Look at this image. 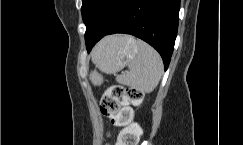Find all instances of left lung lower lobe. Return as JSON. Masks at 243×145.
Returning <instances> with one entry per match:
<instances>
[{
	"label": "left lung lower lobe",
	"instance_id": "obj_1",
	"mask_svg": "<svg viewBox=\"0 0 243 145\" xmlns=\"http://www.w3.org/2000/svg\"><path fill=\"white\" fill-rule=\"evenodd\" d=\"M180 0H126L116 18L103 26L95 21L86 26L87 51L105 35L126 33L153 46L168 68L178 30Z\"/></svg>",
	"mask_w": 243,
	"mask_h": 145
}]
</instances>
